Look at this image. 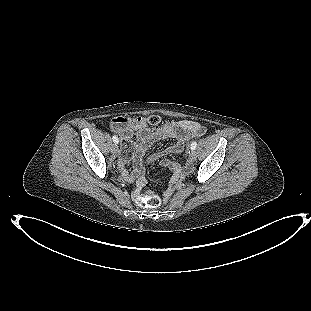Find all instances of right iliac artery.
I'll return each mask as SVG.
<instances>
[{
  "label": "right iliac artery",
  "instance_id": "obj_1",
  "mask_svg": "<svg viewBox=\"0 0 311 311\" xmlns=\"http://www.w3.org/2000/svg\"><path fill=\"white\" fill-rule=\"evenodd\" d=\"M112 139H113V142H114V143L118 144V142H119L118 137L113 136Z\"/></svg>",
  "mask_w": 311,
  "mask_h": 311
}]
</instances>
